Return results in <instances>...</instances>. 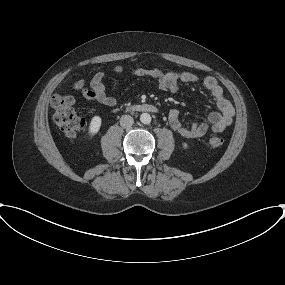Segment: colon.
<instances>
[{"label":"colon","mask_w":285,"mask_h":285,"mask_svg":"<svg viewBox=\"0 0 285 285\" xmlns=\"http://www.w3.org/2000/svg\"><path fill=\"white\" fill-rule=\"evenodd\" d=\"M74 100L69 95H54L51 106L54 110L53 119L55 124L67 138H74L86 128L85 120L73 107ZM223 139L213 134L208 138V146L212 149L221 147Z\"/></svg>","instance_id":"5ec220e1"}]
</instances>
